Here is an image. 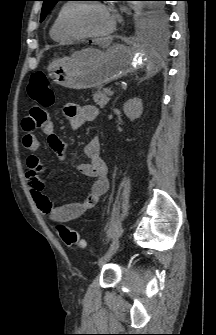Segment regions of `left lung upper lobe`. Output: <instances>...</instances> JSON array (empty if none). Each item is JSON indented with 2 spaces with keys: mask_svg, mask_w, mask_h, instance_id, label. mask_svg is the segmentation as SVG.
<instances>
[{
  "mask_svg": "<svg viewBox=\"0 0 216 335\" xmlns=\"http://www.w3.org/2000/svg\"><path fill=\"white\" fill-rule=\"evenodd\" d=\"M40 22L44 20L50 10L61 0H42ZM147 1L144 10L145 26L147 30L157 36H165L167 33V13L162 1L164 0H145Z\"/></svg>",
  "mask_w": 216,
  "mask_h": 335,
  "instance_id": "1",
  "label": "left lung upper lobe"
}]
</instances>
